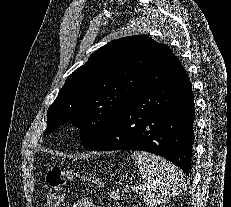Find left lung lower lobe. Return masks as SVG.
Wrapping results in <instances>:
<instances>
[{
  "mask_svg": "<svg viewBox=\"0 0 231 207\" xmlns=\"http://www.w3.org/2000/svg\"><path fill=\"white\" fill-rule=\"evenodd\" d=\"M194 118L191 82L168 49L149 74L146 88L90 149L152 152L173 162L188 176Z\"/></svg>",
  "mask_w": 231,
  "mask_h": 207,
  "instance_id": "1",
  "label": "left lung lower lobe"
}]
</instances>
